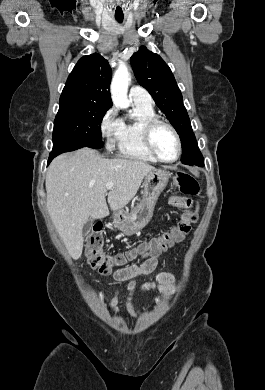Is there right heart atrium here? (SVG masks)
<instances>
[{"label": "right heart atrium", "mask_w": 265, "mask_h": 390, "mask_svg": "<svg viewBox=\"0 0 265 390\" xmlns=\"http://www.w3.org/2000/svg\"><path fill=\"white\" fill-rule=\"evenodd\" d=\"M121 123L122 120L118 117L115 106H111L101 117L99 129L108 147L113 146Z\"/></svg>", "instance_id": "obj_1"}]
</instances>
